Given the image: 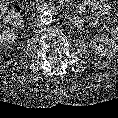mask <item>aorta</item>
Segmentation results:
<instances>
[{
  "mask_svg": "<svg viewBox=\"0 0 118 118\" xmlns=\"http://www.w3.org/2000/svg\"><path fill=\"white\" fill-rule=\"evenodd\" d=\"M40 20L43 24L45 25H48L50 23H52L53 21V15L48 12V11H45L41 16H40Z\"/></svg>",
  "mask_w": 118,
  "mask_h": 118,
  "instance_id": "762f6f07",
  "label": "aorta"
}]
</instances>
